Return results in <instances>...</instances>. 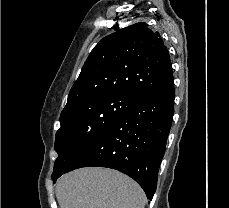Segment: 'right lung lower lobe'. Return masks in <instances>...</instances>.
<instances>
[{
	"label": "right lung lower lobe",
	"mask_w": 229,
	"mask_h": 208,
	"mask_svg": "<svg viewBox=\"0 0 229 208\" xmlns=\"http://www.w3.org/2000/svg\"><path fill=\"white\" fill-rule=\"evenodd\" d=\"M174 98V80L143 96L87 143L62 174L89 166L116 169L139 183L152 200L172 124ZM59 177L52 179L55 182Z\"/></svg>",
	"instance_id": "obj_1"
}]
</instances>
